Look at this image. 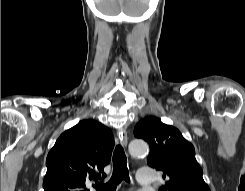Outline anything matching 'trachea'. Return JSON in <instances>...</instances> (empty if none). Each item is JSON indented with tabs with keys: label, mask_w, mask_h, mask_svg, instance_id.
Listing matches in <instances>:
<instances>
[{
	"label": "trachea",
	"mask_w": 245,
	"mask_h": 191,
	"mask_svg": "<svg viewBox=\"0 0 245 191\" xmlns=\"http://www.w3.org/2000/svg\"><path fill=\"white\" fill-rule=\"evenodd\" d=\"M125 180L129 182L127 158L121 145H117L113 153V174L106 184L97 183V191H116L117 185Z\"/></svg>",
	"instance_id": "1"
}]
</instances>
